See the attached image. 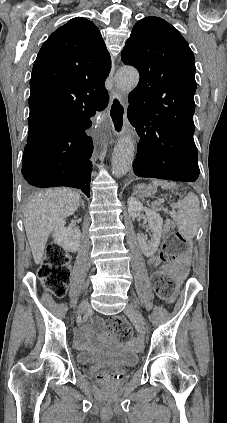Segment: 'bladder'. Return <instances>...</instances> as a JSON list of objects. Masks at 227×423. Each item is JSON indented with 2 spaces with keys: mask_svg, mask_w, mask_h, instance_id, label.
<instances>
[{
  "mask_svg": "<svg viewBox=\"0 0 227 423\" xmlns=\"http://www.w3.org/2000/svg\"><path fill=\"white\" fill-rule=\"evenodd\" d=\"M140 356L134 351H123L118 354L95 353L93 350H84L77 353L79 366H90L95 363L112 365L121 370L138 365Z\"/></svg>",
  "mask_w": 227,
  "mask_h": 423,
  "instance_id": "31cf9c89",
  "label": "bladder"
}]
</instances>
